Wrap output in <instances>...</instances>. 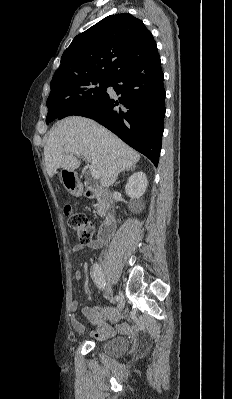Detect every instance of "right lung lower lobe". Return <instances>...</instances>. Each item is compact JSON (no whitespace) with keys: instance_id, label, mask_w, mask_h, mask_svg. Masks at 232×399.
<instances>
[{"instance_id":"98d812e1","label":"right lung lower lobe","mask_w":232,"mask_h":399,"mask_svg":"<svg viewBox=\"0 0 232 399\" xmlns=\"http://www.w3.org/2000/svg\"><path fill=\"white\" fill-rule=\"evenodd\" d=\"M160 56L155 51L110 78L117 95H107L97 104L82 107L69 115L87 117L102 124L124 142L158 165L165 115V90ZM108 86V87H109Z\"/></svg>"}]
</instances>
